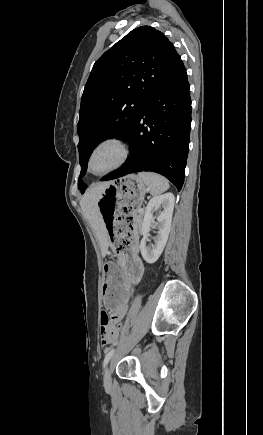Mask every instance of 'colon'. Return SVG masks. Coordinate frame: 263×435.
I'll list each match as a JSON object with an SVG mask.
<instances>
[{
  "instance_id": "5ec220e1",
  "label": "colon",
  "mask_w": 263,
  "mask_h": 435,
  "mask_svg": "<svg viewBox=\"0 0 263 435\" xmlns=\"http://www.w3.org/2000/svg\"><path fill=\"white\" fill-rule=\"evenodd\" d=\"M104 321H110V316L106 312H102L101 314V323H102L101 342L103 343L104 341H109L110 343H112L109 334L107 333V330H104L103 328ZM117 328L123 329V321H118Z\"/></svg>"
}]
</instances>
